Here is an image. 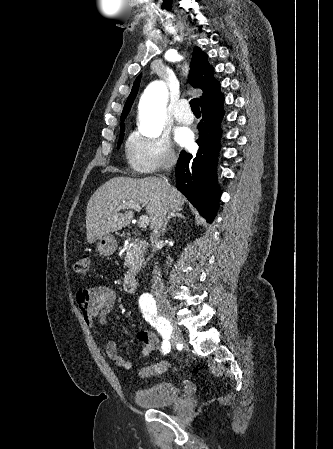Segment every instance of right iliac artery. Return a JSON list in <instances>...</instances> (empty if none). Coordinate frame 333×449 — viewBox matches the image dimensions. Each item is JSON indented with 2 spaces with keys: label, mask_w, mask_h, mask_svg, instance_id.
I'll use <instances>...</instances> for the list:
<instances>
[{
  "label": "right iliac artery",
  "mask_w": 333,
  "mask_h": 449,
  "mask_svg": "<svg viewBox=\"0 0 333 449\" xmlns=\"http://www.w3.org/2000/svg\"><path fill=\"white\" fill-rule=\"evenodd\" d=\"M139 305L142 309L145 319L153 325L164 338L162 352L169 353L171 345L169 342L171 327L169 322L157 315V307L154 298L150 294H143L139 299Z\"/></svg>",
  "instance_id": "right-iliac-artery-1"
}]
</instances>
